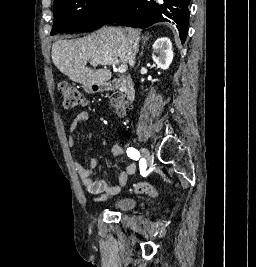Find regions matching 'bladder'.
<instances>
[{
    "instance_id": "1",
    "label": "bladder",
    "mask_w": 256,
    "mask_h": 267,
    "mask_svg": "<svg viewBox=\"0 0 256 267\" xmlns=\"http://www.w3.org/2000/svg\"><path fill=\"white\" fill-rule=\"evenodd\" d=\"M137 204H138L137 198L123 196L115 199L114 203L112 204V208L116 212H123L127 211L128 209H131Z\"/></svg>"
}]
</instances>
